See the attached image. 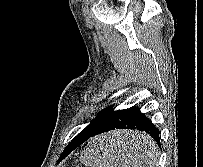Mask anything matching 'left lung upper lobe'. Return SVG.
<instances>
[{
  "label": "left lung upper lobe",
  "mask_w": 203,
  "mask_h": 167,
  "mask_svg": "<svg viewBox=\"0 0 203 167\" xmlns=\"http://www.w3.org/2000/svg\"><path fill=\"white\" fill-rule=\"evenodd\" d=\"M113 106H109L108 108L103 109L99 114L98 117L95 118L85 129H83L78 135H87L88 133H92L98 125L110 114L112 111ZM77 135V136H78ZM63 155V153H62ZM64 158V156H62Z\"/></svg>",
  "instance_id": "obj_1"
}]
</instances>
